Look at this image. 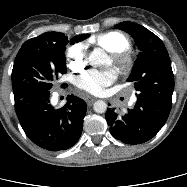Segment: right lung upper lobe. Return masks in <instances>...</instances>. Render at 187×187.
<instances>
[{"instance_id":"right-lung-upper-lobe-1","label":"right lung upper lobe","mask_w":187,"mask_h":187,"mask_svg":"<svg viewBox=\"0 0 187 187\" xmlns=\"http://www.w3.org/2000/svg\"><path fill=\"white\" fill-rule=\"evenodd\" d=\"M59 34H61V33H58V32H47V33H43L42 35H40V37L57 38V37H59ZM87 37H88V34H83V35L75 36L74 38L82 41V40L86 39Z\"/></svg>"}]
</instances>
